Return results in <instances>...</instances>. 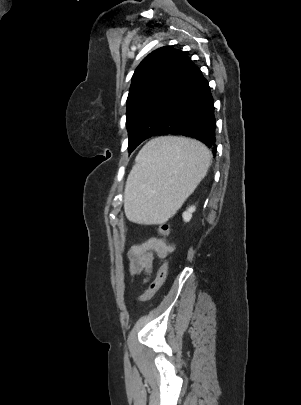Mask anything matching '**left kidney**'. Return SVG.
Returning a JSON list of instances; mask_svg holds the SVG:
<instances>
[{"mask_svg": "<svg viewBox=\"0 0 301 405\" xmlns=\"http://www.w3.org/2000/svg\"><path fill=\"white\" fill-rule=\"evenodd\" d=\"M196 210L195 206H190L185 212H183L182 217L184 222H189L192 218V213Z\"/></svg>", "mask_w": 301, "mask_h": 405, "instance_id": "5707ae66", "label": "left kidney"}]
</instances>
